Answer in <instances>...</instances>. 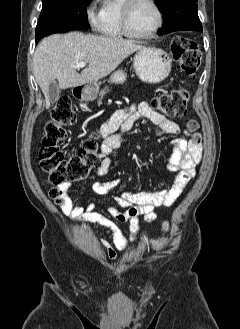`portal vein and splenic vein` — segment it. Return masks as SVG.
<instances>
[{"label": "portal vein and splenic vein", "mask_w": 240, "mask_h": 329, "mask_svg": "<svg viewBox=\"0 0 240 329\" xmlns=\"http://www.w3.org/2000/svg\"><path fill=\"white\" fill-rule=\"evenodd\" d=\"M86 66V62H80L78 64H76V68H84Z\"/></svg>", "instance_id": "1"}]
</instances>
